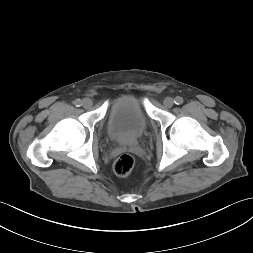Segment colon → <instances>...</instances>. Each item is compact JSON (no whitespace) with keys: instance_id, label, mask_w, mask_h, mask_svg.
<instances>
[{"instance_id":"colon-1","label":"colon","mask_w":253,"mask_h":253,"mask_svg":"<svg viewBox=\"0 0 253 253\" xmlns=\"http://www.w3.org/2000/svg\"><path fill=\"white\" fill-rule=\"evenodd\" d=\"M136 164V160L131 154H122L114 162V172L121 177L131 174Z\"/></svg>"}]
</instances>
